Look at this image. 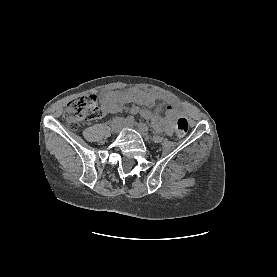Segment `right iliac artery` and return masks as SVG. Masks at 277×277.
I'll list each match as a JSON object with an SVG mask.
<instances>
[{
    "label": "right iliac artery",
    "instance_id": "obj_1",
    "mask_svg": "<svg viewBox=\"0 0 277 277\" xmlns=\"http://www.w3.org/2000/svg\"><path fill=\"white\" fill-rule=\"evenodd\" d=\"M126 121L128 122V123H134V117L133 116H128L127 118H126Z\"/></svg>",
    "mask_w": 277,
    "mask_h": 277
}]
</instances>
